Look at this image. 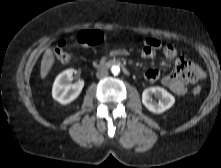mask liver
<instances>
[{
  "mask_svg": "<svg viewBox=\"0 0 221 168\" xmlns=\"http://www.w3.org/2000/svg\"><path fill=\"white\" fill-rule=\"evenodd\" d=\"M55 63V58L51 48L46 49L43 54L41 67H40V76L41 79H45L51 70L53 64Z\"/></svg>",
  "mask_w": 221,
  "mask_h": 168,
  "instance_id": "liver-1",
  "label": "liver"
}]
</instances>
